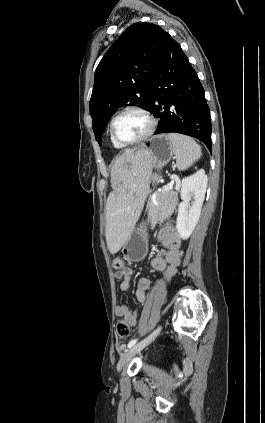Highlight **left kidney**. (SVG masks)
<instances>
[{"mask_svg":"<svg viewBox=\"0 0 265 423\" xmlns=\"http://www.w3.org/2000/svg\"><path fill=\"white\" fill-rule=\"evenodd\" d=\"M208 177L204 170H199L181 181V199L179 204L176 229L183 240L190 237L199 220L205 199ZM191 198L193 202L190 203Z\"/></svg>","mask_w":265,"mask_h":423,"instance_id":"left-kidney-1","label":"left kidney"}]
</instances>
